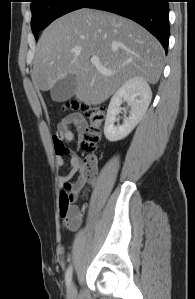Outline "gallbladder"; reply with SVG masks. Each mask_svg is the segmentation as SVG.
<instances>
[{
  "label": "gallbladder",
  "instance_id": "bac80fb5",
  "mask_svg": "<svg viewBox=\"0 0 195 299\" xmlns=\"http://www.w3.org/2000/svg\"><path fill=\"white\" fill-rule=\"evenodd\" d=\"M77 88V81L74 75L66 76L58 80L51 88L50 95L54 102H64L70 99Z\"/></svg>",
  "mask_w": 195,
  "mask_h": 299
}]
</instances>
